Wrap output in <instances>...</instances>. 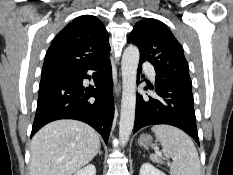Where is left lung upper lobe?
<instances>
[{
	"label": "left lung upper lobe",
	"mask_w": 233,
	"mask_h": 175,
	"mask_svg": "<svg viewBox=\"0 0 233 175\" xmlns=\"http://www.w3.org/2000/svg\"><path fill=\"white\" fill-rule=\"evenodd\" d=\"M128 43L138 46L140 60L149 61L155 67L156 74L191 83L183 48L162 22L152 18L137 22Z\"/></svg>",
	"instance_id": "obj_1"
}]
</instances>
